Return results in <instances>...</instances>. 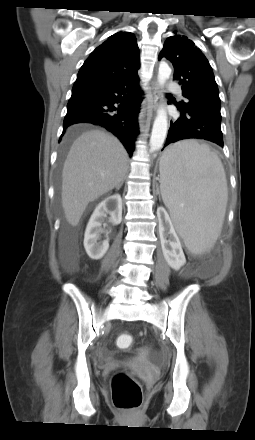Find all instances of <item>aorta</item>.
I'll return each instance as SVG.
<instances>
[{"instance_id":"1","label":"aorta","mask_w":255,"mask_h":440,"mask_svg":"<svg viewBox=\"0 0 255 440\" xmlns=\"http://www.w3.org/2000/svg\"><path fill=\"white\" fill-rule=\"evenodd\" d=\"M171 75V69L167 63L161 62L158 71V82L160 85H164L166 80ZM168 130L167 113L164 108H160L157 111L155 118L151 138H150V151L155 152L162 148L166 139Z\"/></svg>"}]
</instances>
